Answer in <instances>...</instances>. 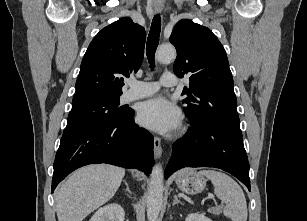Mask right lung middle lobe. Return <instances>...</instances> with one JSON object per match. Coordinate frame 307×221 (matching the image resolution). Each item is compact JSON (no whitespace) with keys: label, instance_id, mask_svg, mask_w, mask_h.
Masks as SVG:
<instances>
[{"label":"right lung middle lobe","instance_id":"dd1d6c3e","mask_svg":"<svg viewBox=\"0 0 307 221\" xmlns=\"http://www.w3.org/2000/svg\"><path fill=\"white\" fill-rule=\"evenodd\" d=\"M118 106L119 97L72 103L63 135L123 117L127 111Z\"/></svg>","mask_w":307,"mask_h":221}]
</instances>
